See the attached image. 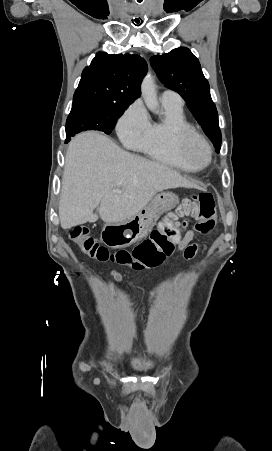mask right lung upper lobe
Here are the masks:
<instances>
[{"label":"right lung upper lobe","instance_id":"right-lung-upper-lobe-1","mask_svg":"<svg viewBox=\"0 0 272 451\" xmlns=\"http://www.w3.org/2000/svg\"><path fill=\"white\" fill-rule=\"evenodd\" d=\"M147 63L139 55L98 52L85 67L73 103L97 102L130 105L141 93Z\"/></svg>","mask_w":272,"mask_h":451}]
</instances>
